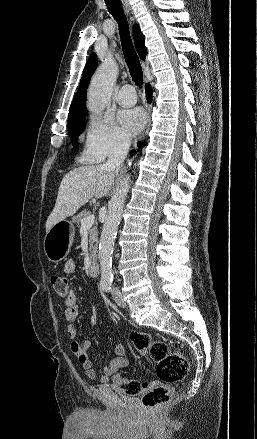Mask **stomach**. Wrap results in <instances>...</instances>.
Listing matches in <instances>:
<instances>
[{
	"label": "stomach",
	"instance_id": "0dacf381",
	"mask_svg": "<svg viewBox=\"0 0 257 439\" xmlns=\"http://www.w3.org/2000/svg\"><path fill=\"white\" fill-rule=\"evenodd\" d=\"M75 236L71 221L62 220L51 227L44 239V252L51 262L63 260L70 251Z\"/></svg>",
	"mask_w": 257,
	"mask_h": 439
}]
</instances>
